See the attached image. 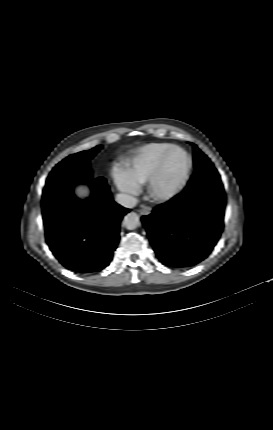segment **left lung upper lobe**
Segmentation results:
<instances>
[{"label":"left lung upper lobe","instance_id":"obj_1","mask_svg":"<svg viewBox=\"0 0 273 430\" xmlns=\"http://www.w3.org/2000/svg\"><path fill=\"white\" fill-rule=\"evenodd\" d=\"M190 144L193 145L194 167L196 170L213 166V163L209 160V158L203 152H201L196 145L193 143Z\"/></svg>","mask_w":273,"mask_h":430}]
</instances>
